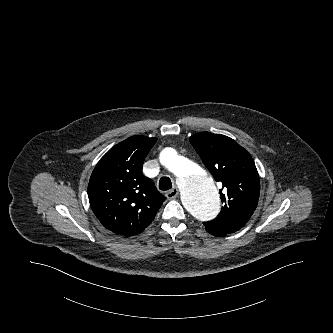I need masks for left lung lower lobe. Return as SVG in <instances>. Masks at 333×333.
I'll use <instances>...</instances> for the list:
<instances>
[{"instance_id": "left-lung-lower-lobe-1", "label": "left lung lower lobe", "mask_w": 333, "mask_h": 333, "mask_svg": "<svg viewBox=\"0 0 333 333\" xmlns=\"http://www.w3.org/2000/svg\"><path fill=\"white\" fill-rule=\"evenodd\" d=\"M204 225H205V229L207 230V232H209L210 234L215 235V236H224V235L235 232V231H232V230H229L226 228H219V227L213 226L209 222H205Z\"/></svg>"}]
</instances>
